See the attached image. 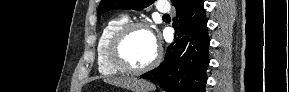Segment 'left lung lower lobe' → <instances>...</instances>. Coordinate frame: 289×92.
I'll return each instance as SVG.
<instances>
[{
	"instance_id": "0a47b994",
	"label": "left lung lower lobe",
	"mask_w": 289,
	"mask_h": 92,
	"mask_svg": "<svg viewBox=\"0 0 289 92\" xmlns=\"http://www.w3.org/2000/svg\"><path fill=\"white\" fill-rule=\"evenodd\" d=\"M173 5L180 17L175 45L167 48L159 67L141 78L155 82L166 92H205L210 39L203 0H177Z\"/></svg>"
}]
</instances>
